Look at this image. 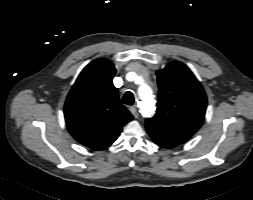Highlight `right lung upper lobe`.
Returning a JSON list of instances; mask_svg holds the SVG:
<instances>
[{
  "instance_id": "obj_1",
  "label": "right lung upper lobe",
  "mask_w": 253,
  "mask_h": 200,
  "mask_svg": "<svg viewBox=\"0 0 253 200\" xmlns=\"http://www.w3.org/2000/svg\"><path fill=\"white\" fill-rule=\"evenodd\" d=\"M116 70L106 59H96L78 76L66 99L64 114L70 134L81 144L101 150L110 146L122 127L133 119L120 103L113 85Z\"/></svg>"
}]
</instances>
